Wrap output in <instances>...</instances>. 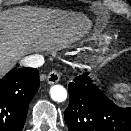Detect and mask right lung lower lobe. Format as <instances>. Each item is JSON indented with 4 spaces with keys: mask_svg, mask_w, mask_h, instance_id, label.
I'll use <instances>...</instances> for the list:
<instances>
[{
    "mask_svg": "<svg viewBox=\"0 0 131 131\" xmlns=\"http://www.w3.org/2000/svg\"><path fill=\"white\" fill-rule=\"evenodd\" d=\"M35 68H14L0 81V131H22L31 99L39 89Z\"/></svg>",
    "mask_w": 131,
    "mask_h": 131,
    "instance_id": "obj_1",
    "label": "right lung lower lobe"
}]
</instances>
